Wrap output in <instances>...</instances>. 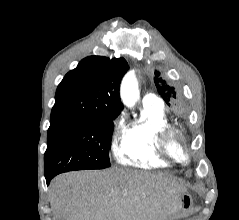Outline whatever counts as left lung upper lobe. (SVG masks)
I'll list each match as a JSON object with an SVG mask.
<instances>
[{
	"mask_svg": "<svg viewBox=\"0 0 239 220\" xmlns=\"http://www.w3.org/2000/svg\"><path fill=\"white\" fill-rule=\"evenodd\" d=\"M156 77L154 78L155 85L158 89L159 94L164 99L166 104L173 109L178 116H186L187 108L186 104L176 96V90L174 87L169 86L165 80L158 78L159 72H155Z\"/></svg>",
	"mask_w": 239,
	"mask_h": 220,
	"instance_id": "obj_1",
	"label": "left lung upper lobe"
}]
</instances>
